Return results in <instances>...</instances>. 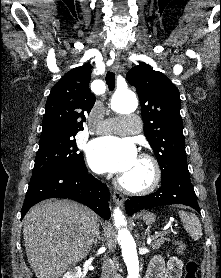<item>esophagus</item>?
Masks as SVG:
<instances>
[{
    "instance_id": "1",
    "label": "esophagus",
    "mask_w": 221,
    "mask_h": 278,
    "mask_svg": "<svg viewBox=\"0 0 221 278\" xmlns=\"http://www.w3.org/2000/svg\"><path fill=\"white\" fill-rule=\"evenodd\" d=\"M119 64H120V51H117L115 53L112 69L117 70L119 68ZM113 199L115 200V202L117 204L123 206L124 201H125V197L120 192L114 191L113 192Z\"/></svg>"
}]
</instances>
